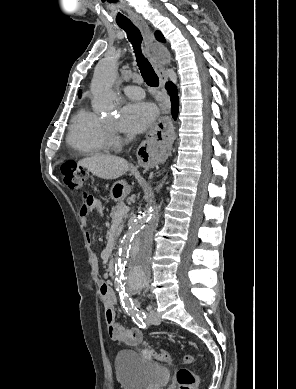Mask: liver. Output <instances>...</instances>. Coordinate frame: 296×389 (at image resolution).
Wrapping results in <instances>:
<instances>
[{
  "label": "liver",
  "instance_id": "obj_1",
  "mask_svg": "<svg viewBox=\"0 0 296 389\" xmlns=\"http://www.w3.org/2000/svg\"><path fill=\"white\" fill-rule=\"evenodd\" d=\"M77 164L106 180L118 179L129 170V163L125 159L111 155H93L80 160Z\"/></svg>",
  "mask_w": 296,
  "mask_h": 389
}]
</instances>
